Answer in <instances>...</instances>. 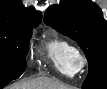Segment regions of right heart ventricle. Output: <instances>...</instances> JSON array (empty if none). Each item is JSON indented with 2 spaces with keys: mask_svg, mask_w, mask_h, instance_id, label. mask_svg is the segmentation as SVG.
<instances>
[{
  "mask_svg": "<svg viewBox=\"0 0 107 89\" xmlns=\"http://www.w3.org/2000/svg\"><path fill=\"white\" fill-rule=\"evenodd\" d=\"M45 50L49 61L59 73L68 77L76 74L72 66V56L77 49L71 42L53 37L46 43Z\"/></svg>",
  "mask_w": 107,
  "mask_h": 89,
  "instance_id": "e07e8e85",
  "label": "right heart ventricle"
}]
</instances>
